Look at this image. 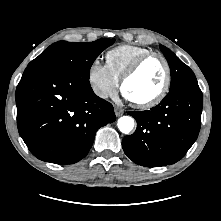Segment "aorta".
Instances as JSON below:
<instances>
[{
  "instance_id": "762f6f07",
  "label": "aorta",
  "mask_w": 221,
  "mask_h": 221,
  "mask_svg": "<svg viewBox=\"0 0 221 221\" xmlns=\"http://www.w3.org/2000/svg\"><path fill=\"white\" fill-rule=\"evenodd\" d=\"M120 132L129 134L134 128V119L130 116H122L117 122Z\"/></svg>"
}]
</instances>
